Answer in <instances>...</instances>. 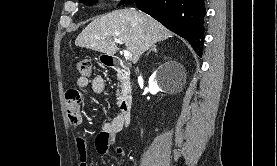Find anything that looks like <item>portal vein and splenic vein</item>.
<instances>
[{
  "label": "portal vein and splenic vein",
  "mask_w": 277,
  "mask_h": 166,
  "mask_svg": "<svg viewBox=\"0 0 277 166\" xmlns=\"http://www.w3.org/2000/svg\"><path fill=\"white\" fill-rule=\"evenodd\" d=\"M114 42L118 44H122L121 40L117 38H114ZM124 57L126 60H130L132 58V54L129 51L124 50Z\"/></svg>",
  "instance_id": "obj_1"
}]
</instances>
